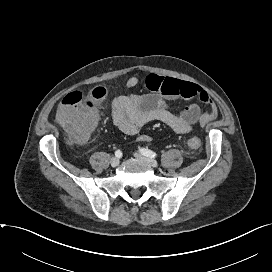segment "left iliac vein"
Segmentation results:
<instances>
[{
    "label": "left iliac vein",
    "instance_id": "4c4485c4",
    "mask_svg": "<svg viewBox=\"0 0 272 272\" xmlns=\"http://www.w3.org/2000/svg\"><path fill=\"white\" fill-rule=\"evenodd\" d=\"M134 156H135L136 158H138V159H140V160H142V161L148 163V164L151 165L152 167H157V166H158V163H157V161H156L155 159H152V158H150V157H147V156H145V155H143V154H141V153L136 152V153H134Z\"/></svg>",
    "mask_w": 272,
    "mask_h": 272
}]
</instances>
